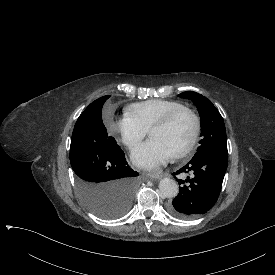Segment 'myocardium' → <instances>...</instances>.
Instances as JSON below:
<instances>
[{
    "label": "myocardium",
    "instance_id": "myocardium-1",
    "mask_svg": "<svg viewBox=\"0 0 275 275\" xmlns=\"http://www.w3.org/2000/svg\"><path fill=\"white\" fill-rule=\"evenodd\" d=\"M182 114H188L191 118L192 121V133L191 136L188 140V142L186 143L185 146H183L181 149H179L173 156L174 158H182L184 156H186L187 154H189L193 148L195 147L199 134H200V121L199 118L197 116V114L190 108L187 107H183L180 109H176L171 111L170 113H168L167 115H165L161 120H159L158 122H156L153 127L150 129H157V128H168L172 125V123L174 122V120L182 115Z\"/></svg>",
    "mask_w": 275,
    "mask_h": 275
}]
</instances>
